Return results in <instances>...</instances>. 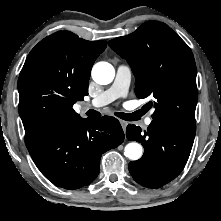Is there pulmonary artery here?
<instances>
[{
  "label": "pulmonary artery",
  "instance_id": "e3ab8cb5",
  "mask_svg": "<svg viewBox=\"0 0 221 221\" xmlns=\"http://www.w3.org/2000/svg\"><path fill=\"white\" fill-rule=\"evenodd\" d=\"M131 81V69L128 65H120L117 68L116 76L112 85L90 102L91 107H102L118 98L127 95ZM145 125L149 126L152 123V117L148 116Z\"/></svg>",
  "mask_w": 221,
  "mask_h": 221
}]
</instances>
